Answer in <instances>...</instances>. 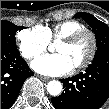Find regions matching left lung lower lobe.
Instances as JSON below:
<instances>
[{
	"label": "left lung lower lobe",
	"instance_id": "obj_1",
	"mask_svg": "<svg viewBox=\"0 0 109 109\" xmlns=\"http://www.w3.org/2000/svg\"><path fill=\"white\" fill-rule=\"evenodd\" d=\"M63 93L52 98L55 109H99L109 98V52L95 55L84 73L60 80ZM79 88L76 98L68 96Z\"/></svg>",
	"mask_w": 109,
	"mask_h": 109
}]
</instances>
